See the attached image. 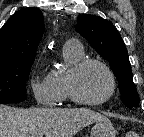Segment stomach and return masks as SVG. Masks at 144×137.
I'll list each match as a JSON object with an SVG mask.
<instances>
[{"instance_id":"1","label":"stomach","mask_w":144,"mask_h":137,"mask_svg":"<svg viewBox=\"0 0 144 137\" xmlns=\"http://www.w3.org/2000/svg\"><path fill=\"white\" fill-rule=\"evenodd\" d=\"M116 131L107 118L96 121L91 129V137H115Z\"/></svg>"}]
</instances>
